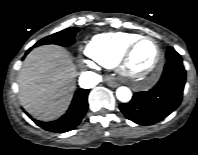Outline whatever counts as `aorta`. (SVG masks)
Returning <instances> with one entry per match:
<instances>
[{"mask_svg": "<svg viewBox=\"0 0 198 155\" xmlns=\"http://www.w3.org/2000/svg\"><path fill=\"white\" fill-rule=\"evenodd\" d=\"M116 97L119 101L126 103L131 100L132 92L129 88L121 86L116 90Z\"/></svg>", "mask_w": 198, "mask_h": 155, "instance_id": "762f6f07", "label": "aorta"}]
</instances>
